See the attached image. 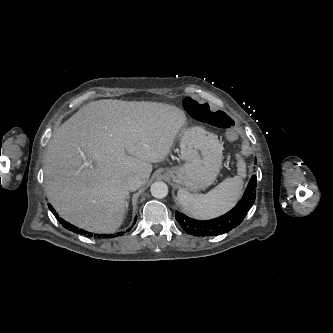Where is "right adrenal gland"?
I'll return each instance as SVG.
<instances>
[{"instance_id":"2a0ac1e0","label":"right adrenal gland","mask_w":333,"mask_h":333,"mask_svg":"<svg viewBox=\"0 0 333 333\" xmlns=\"http://www.w3.org/2000/svg\"><path fill=\"white\" fill-rule=\"evenodd\" d=\"M130 196H127V200H129ZM126 210L128 209V201H126Z\"/></svg>"}]
</instances>
